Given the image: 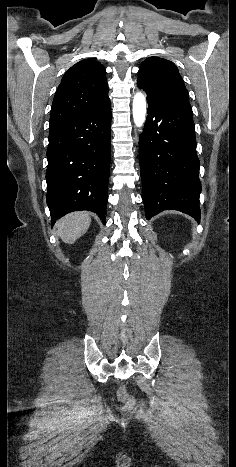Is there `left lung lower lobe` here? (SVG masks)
Here are the masks:
<instances>
[{"label": "left lung lower lobe", "instance_id": "obj_1", "mask_svg": "<svg viewBox=\"0 0 236 467\" xmlns=\"http://www.w3.org/2000/svg\"><path fill=\"white\" fill-rule=\"evenodd\" d=\"M147 112L139 139L146 218L173 209L200 222V162L192 108L148 101Z\"/></svg>", "mask_w": 236, "mask_h": 467}]
</instances>
